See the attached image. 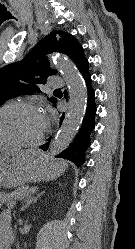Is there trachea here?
<instances>
[{
  "instance_id": "trachea-1",
  "label": "trachea",
  "mask_w": 135,
  "mask_h": 249,
  "mask_svg": "<svg viewBox=\"0 0 135 249\" xmlns=\"http://www.w3.org/2000/svg\"><path fill=\"white\" fill-rule=\"evenodd\" d=\"M55 91H61L60 89H56Z\"/></svg>"
}]
</instances>
